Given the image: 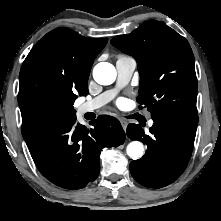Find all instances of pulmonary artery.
<instances>
[{
  "instance_id": "e3ab8cb5",
  "label": "pulmonary artery",
  "mask_w": 221,
  "mask_h": 221,
  "mask_svg": "<svg viewBox=\"0 0 221 221\" xmlns=\"http://www.w3.org/2000/svg\"><path fill=\"white\" fill-rule=\"evenodd\" d=\"M136 68V61L132 57L128 56H120L116 61V70H117V84L116 88L112 90L105 91L104 93L98 95L90 101H87L81 104L78 107V114L83 115L88 112L95 111L100 107L107 104L109 101L113 99L118 89L125 86L131 79ZM150 126L153 125V121L150 120L148 123Z\"/></svg>"
}]
</instances>
